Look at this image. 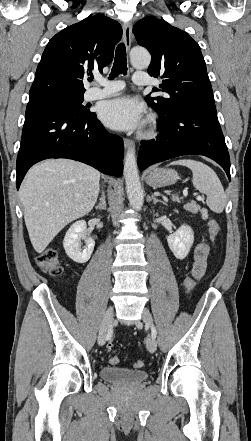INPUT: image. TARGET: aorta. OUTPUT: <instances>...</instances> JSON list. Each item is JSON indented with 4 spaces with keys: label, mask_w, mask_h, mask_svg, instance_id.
<instances>
[{
    "label": "aorta",
    "mask_w": 251,
    "mask_h": 441,
    "mask_svg": "<svg viewBox=\"0 0 251 441\" xmlns=\"http://www.w3.org/2000/svg\"><path fill=\"white\" fill-rule=\"evenodd\" d=\"M131 63L135 68H147L151 61L149 52L142 48H133L130 53ZM123 174L126 182L127 196L133 209L141 210L144 195L141 187L134 149H128L124 158Z\"/></svg>",
    "instance_id": "762f6f07"
}]
</instances>
